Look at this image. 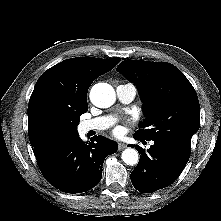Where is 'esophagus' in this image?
Instances as JSON below:
<instances>
[{"mask_svg": "<svg viewBox=\"0 0 221 221\" xmlns=\"http://www.w3.org/2000/svg\"><path fill=\"white\" fill-rule=\"evenodd\" d=\"M126 148V145L124 144V143H118V150L119 151H121V150H123V149H125Z\"/></svg>", "mask_w": 221, "mask_h": 221, "instance_id": "esophagus-1", "label": "esophagus"}]
</instances>
